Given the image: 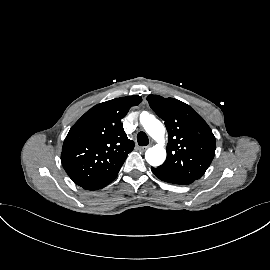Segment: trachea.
Segmentation results:
<instances>
[{
    "label": "trachea",
    "instance_id": "trachea-1",
    "mask_svg": "<svg viewBox=\"0 0 270 270\" xmlns=\"http://www.w3.org/2000/svg\"><path fill=\"white\" fill-rule=\"evenodd\" d=\"M137 142L139 146H146L149 143L148 136L144 132H139L137 135Z\"/></svg>",
    "mask_w": 270,
    "mask_h": 270
}]
</instances>
